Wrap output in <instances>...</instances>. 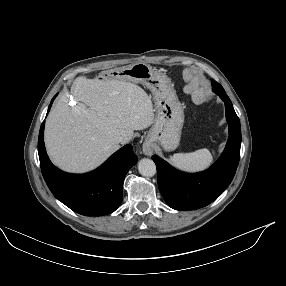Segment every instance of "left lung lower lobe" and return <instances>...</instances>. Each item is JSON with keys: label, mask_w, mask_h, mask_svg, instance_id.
<instances>
[{"label": "left lung lower lobe", "mask_w": 286, "mask_h": 286, "mask_svg": "<svg viewBox=\"0 0 286 286\" xmlns=\"http://www.w3.org/2000/svg\"><path fill=\"white\" fill-rule=\"evenodd\" d=\"M225 102L229 139L221 157L201 173L186 174L172 168L157 155L152 157L157 167V180L165 202L176 210H193L216 200L231 183L240 158L241 127L232 103L226 94Z\"/></svg>", "instance_id": "left-lung-lower-lobe-1"}]
</instances>
